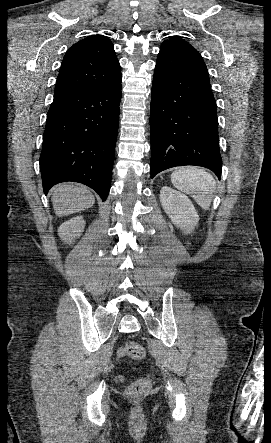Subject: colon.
Wrapping results in <instances>:
<instances>
[{"instance_id": "obj_1", "label": "colon", "mask_w": 271, "mask_h": 443, "mask_svg": "<svg viewBox=\"0 0 271 443\" xmlns=\"http://www.w3.org/2000/svg\"><path fill=\"white\" fill-rule=\"evenodd\" d=\"M119 357L127 356L131 359L139 360L145 356L144 347L134 341L127 342L118 350ZM150 387V381L141 377L132 382L127 388V395L131 398L141 397Z\"/></svg>"}]
</instances>
